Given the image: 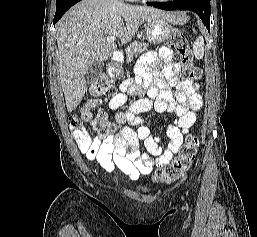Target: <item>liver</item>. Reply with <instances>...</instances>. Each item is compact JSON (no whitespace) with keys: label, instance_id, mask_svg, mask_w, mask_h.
I'll return each instance as SVG.
<instances>
[{"label":"liver","instance_id":"liver-1","mask_svg":"<svg viewBox=\"0 0 257 237\" xmlns=\"http://www.w3.org/2000/svg\"><path fill=\"white\" fill-rule=\"evenodd\" d=\"M164 17L181 24L183 17L161 10L124 4L118 0H82L57 23L58 62L62 90L69 112L76 109L86 92L85 74L95 62H104L116 51L115 36L126 44L148 18Z\"/></svg>","mask_w":257,"mask_h":237}]
</instances>
